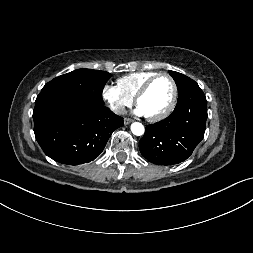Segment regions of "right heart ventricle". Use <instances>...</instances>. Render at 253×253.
I'll return each instance as SVG.
<instances>
[{
	"instance_id": "1",
	"label": "right heart ventricle",
	"mask_w": 253,
	"mask_h": 253,
	"mask_svg": "<svg viewBox=\"0 0 253 253\" xmlns=\"http://www.w3.org/2000/svg\"><path fill=\"white\" fill-rule=\"evenodd\" d=\"M157 72H134L120 77L117 80L118 87L131 99H133L139 89Z\"/></svg>"
}]
</instances>
